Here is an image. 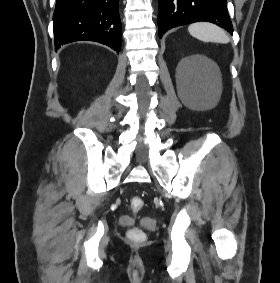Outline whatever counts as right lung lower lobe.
<instances>
[{"instance_id": "right-lung-lower-lobe-1", "label": "right lung lower lobe", "mask_w": 280, "mask_h": 283, "mask_svg": "<svg viewBox=\"0 0 280 283\" xmlns=\"http://www.w3.org/2000/svg\"><path fill=\"white\" fill-rule=\"evenodd\" d=\"M119 0H56L53 14L55 50L64 44L90 40L120 51Z\"/></svg>"}]
</instances>
